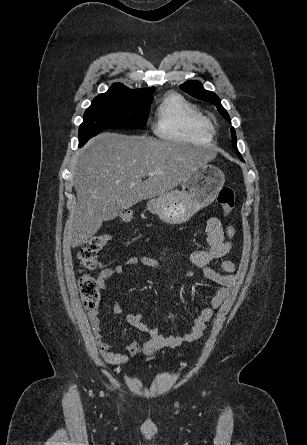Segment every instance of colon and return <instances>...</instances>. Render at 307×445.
<instances>
[{"instance_id":"colon-1","label":"colon","mask_w":307,"mask_h":445,"mask_svg":"<svg viewBox=\"0 0 307 445\" xmlns=\"http://www.w3.org/2000/svg\"><path fill=\"white\" fill-rule=\"evenodd\" d=\"M217 201L221 205L224 215H228L234 207L233 190L230 187H222ZM121 219L124 222L131 221L132 213L129 211L122 213ZM109 239L108 235H96L82 245L78 252V258L84 269L95 270L101 267L98 255ZM79 287L86 310L88 312L95 311L98 308L101 295V286L97 279L89 274H82L79 277Z\"/></svg>"}]
</instances>
